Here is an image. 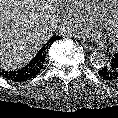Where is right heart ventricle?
<instances>
[{"instance_id": "1", "label": "right heart ventricle", "mask_w": 118, "mask_h": 118, "mask_svg": "<svg viewBox=\"0 0 118 118\" xmlns=\"http://www.w3.org/2000/svg\"><path fill=\"white\" fill-rule=\"evenodd\" d=\"M88 12L95 18L109 6L112 0H82Z\"/></svg>"}]
</instances>
